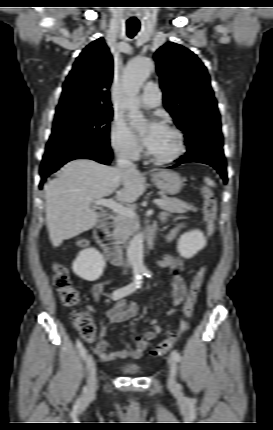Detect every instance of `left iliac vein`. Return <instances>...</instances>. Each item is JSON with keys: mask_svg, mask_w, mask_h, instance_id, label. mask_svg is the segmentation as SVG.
I'll use <instances>...</instances> for the list:
<instances>
[{"mask_svg": "<svg viewBox=\"0 0 273 430\" xmlns=\"http://www.w3.org/2000/svg\"><path fill=\"white\" fill-rule=\"evenodd\" d=\"M168 364L170 369L169 377H168V385L170 389L177 390L178 389V383L176 382L177 363L172 354L168 358Z\"/></svg>", "mask_w": 273, "mask_h": 430, "instance_id": "obj_1", "label": "left iliac vein"}]
</instances>
